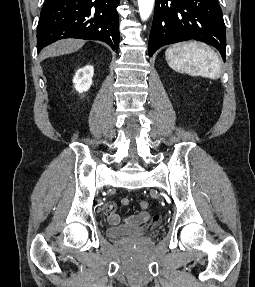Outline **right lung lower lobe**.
Returning a JSON list of instances; mask_svg holds the SVG:
<instances>
[{
	"mask_svg": "<svg viewBox=\"0 0 255 287\" xmlns=\"http://www.w3.org/2000/svg\"><path fill=\"white\" fill-rule=\"evenodd\" d=\"M119 0H46L37 27V50L64 38L100 40L119 48Z\"/></svg>",
	"mask_w": 255,
	"mask_h": 287,
	"instance_id": "1",
	"label": "right lung lower lobe"
}]
</instances>
